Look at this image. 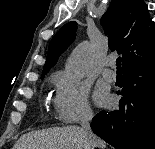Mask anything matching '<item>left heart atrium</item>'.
<instances>
[{
    "instance_id": "1",
    "label": "left heart atrium",
    "mask_w": 155,
    "mask_h": 149,
    "mask_svg": "<svg viewBox=\"0 0 155 149\" xmlns=\"http://www.w3.org/2000/svg\"><path fill=\"white\" fill-rule=\"evenodd\" d=\"M109 99L108 94L102 89L97 88L95 92V100L98 104H105Z\"/></svg>"
}]
</instances>
